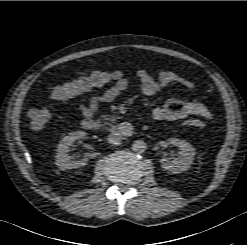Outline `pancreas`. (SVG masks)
Returning <instances> with one entry per match:
<instances>
[{
  "label": "pancreas",
  "instance_id": "cf45deb5",
  "mask_svg": "<svg viewBox=\"0 0 247 245\" xmlns=\"http://www.w3.org/2000/svg\"><path fill=\"white\" fill-rule=\"evenodd\" d=\"M102 117H103V119H99L98 120L99 122H102V120H104L105 121V124H109L108 121H111V122H114L115 121V119L109 118L108 115H103Z\"/></svg>",
  "mask_w": 247,
  "mask_h": 245
}]
</instances>
